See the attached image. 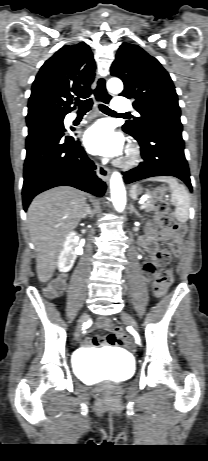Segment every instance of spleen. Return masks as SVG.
I'll return each mask as SVG.
<instances>
[{
    "label": "spleen",
    "mask_w": 208,
    "mask_h": 461,
    "mask_svg": "<svg viewBox=\"0 0 208 461\" xmlns=\"http://www.w3.org/2000/svg\"><path fill=\"white\" fill-rule=\"evenodd\" d=\"M151 181L166 182L171 190V203L175 206V216L179 222H186L189 218L190 198L186 188L179 184L173 177L160 176L149 179ZM136 187L134 185L130 190L132 198H136Z\"/></svg>",
    "instance_id": "spleen-1"
}]
</instances>
